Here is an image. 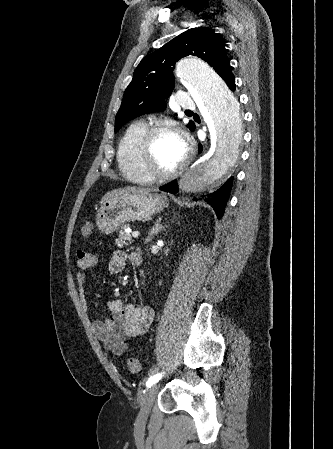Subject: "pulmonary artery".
I'll list each match as a JSON object with an SVG mask.
<instances>
[{
  "label": "pulmonary artery",
  "mask_w": 333,
  "mask_h": 449,
  "mask_svg": "<svg viewBox=\"0 0 333 449\" xmlns=\"http://www.w3.org/2000/svg\"><path fill=\"white\" fill-rule=\"evenodd\" d=\"M178 103L184 109H194L195 102L193 98L188 93H181L178 97Z\"/></svg>",
  "instance_id": "obj_1"
}]
</instances>
